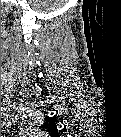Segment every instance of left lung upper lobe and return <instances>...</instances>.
<instances>
[{"label":"left lung upper lobe","instance_id":"1","mask_svg":"<svg viewBox=\"0 0 121 137\" xmlns=\"http://www.w3.org/2000/svg\"><path fill=\"white\" fill-rule=\"evenodd\" d=\"M40 128L49 132L50 134H53V132H56L55 121L50 117H45V123L44 125L40 126Z\"/></svg>","mask_w":121,"mask_h":137}]
</instances>
